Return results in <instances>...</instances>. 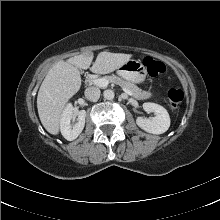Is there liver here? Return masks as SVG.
<instances>
[{
  "label": "liver",
  "instance_id": "1",
  "mask_svg": "<svg viewBox=\"0 0 220 220\" xmlns=\"http://www.w3.org/2000/svg\"><path fill=\"white\" fill-rule=\"evenodd\" d=\"M93 53L87 52L58 61L48 71L37 96V109L43 127L52 135L59 133L63 109L81 87L79 69H90L96 74H108L132 57V54L100 52L90 67Z\"/></svg>",
  "mask_w": 220,
  "mask_h": 220
}]
</instances>
